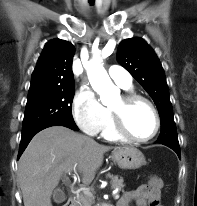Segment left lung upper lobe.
<instances>
[{
  "instance_id": "1",
  "label": "left lung upper lobe",
  "mask_w": 197,
  "mask_h": 206,
  "mask_svg": "<svg viewBox=\"0 0 197 206\" xmlns=\"http://www.w3.org/2000/svg\"><path fill=\"white\" fill-rule=\"evenodd\" d=\"M117 60L157 106L161 120L158 140L178 141L165 73L153 49L142 38L125 39L118 46Z\"/></svg>"
}]
</instances>
